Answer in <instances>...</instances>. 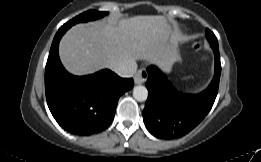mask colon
<instances>
[{
    "instance_id": "5ec220e1",
    "label": "colon",
    "mask_w": 261,
    "mask_h": 162,
    "mask_svg": "<svg viewBox=\"0 0 261 162\" xmlns=\"http://www.w3.org/2000/svg\"><path fill=\"white\" fill-rule=\"evenodd\" d=\"M200 46L198 43L195 44V49H198Z\"/></svg>"
}]
</instances>
